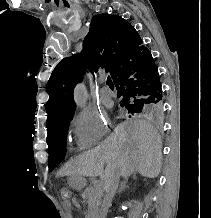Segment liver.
Wrapping results in <instances>:
<instances>
[{
    "instance_id": "6515ba94",
    "label": "liver",
    "mask_w": 211,
    "mask_h": 218,
    "mask_svg": "<svg viewBox=\"0 0 211 218\" xmlns=\"http://www.w3.org/2000/svg\"><path fill=\"white\" fill-rule=\"evenodd\" d=\"M161 160V140L152 126L145 120H126L116 126L99 148L80 154L63 172L71 174L75 168L83 176H100L102 180L107 172H120L123 178L136 172L155 178L160 172Z\"/></svg>"
}]
</instances>
